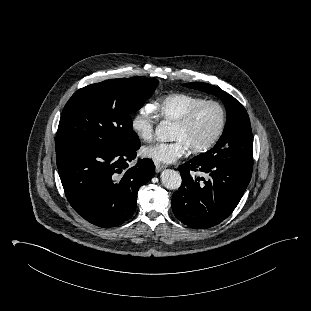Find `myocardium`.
I'll return each mask as SVG.
<instances>
[{"mask_svg":"<svg viewBox=\"0 0 311 311\" xmlns=\"http://www.w3.org/2000/svg\"><path fill=\"white\" fill-rule=\"evenodd\" d=\"M210 105L216 107L219 111V114H220L219 125L217 127V130L213 134V136L206 143L200 146H195V147L190 148L191 151L195 153H202V152L208 151L209 149L214 147L216 143L219 141V139L221 138L226 127V122H227V113H226L225 107L216 100H204L201 103L194 106L182 118H180L178 121L174 123V125L178 127L186 128L193 122V120L196 118L198 113L204 107L210 106Z\"/></svg>","mask_w":311,"mask_h":311,"instance_id":"obj_1","label":"myocardium"}]
</instances>
